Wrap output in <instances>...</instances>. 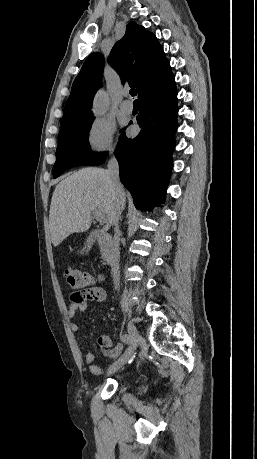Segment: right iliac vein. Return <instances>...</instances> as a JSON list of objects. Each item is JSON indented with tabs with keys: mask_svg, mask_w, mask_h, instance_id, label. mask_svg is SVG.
<instances>
[{
	"mask_svg": "<svg viewBox=\"0 0 257 459\" xmlns=\"http://www.w3.org/2000/svg\"><path fill=\"white\" fill-rule=\"evenodd\" d=\"M128 334L130 336V341H129V348L127 350V353L123 355L117 362H115L108 368L107 370L108 375L118 371L134 356V352L136 350V347L140 339V334L132 323L128 324Z\"/></svg>",
	"mask_w": 257,
	"mask_h": 459,
	"instance_id": "1",
	"label": "right iliac vein"
}]
</instances>
